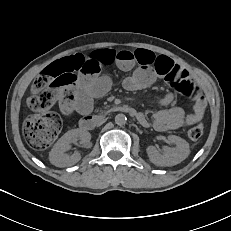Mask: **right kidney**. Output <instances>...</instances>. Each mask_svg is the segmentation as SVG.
<instances>
[{"mask_svg": "<svg viewBox=\"0 0 231 231\" xmlns=\"http://www.w3.org/2000/svg\"><path fill=\"white\" fill-rule=\"evenodd\" d=\"M80 139L82 144H89L91 135L88 131L72 129L66 132L53 146L49 154L50 162L57 167H65L76 164L81 155L78 152L69 155L65 153L71 143H76Z\"/></svg>", "mask_w": 231, "mask_h": 231, "instance_id": "1", "label": "right kidney"}]
</instances>
